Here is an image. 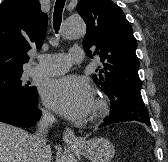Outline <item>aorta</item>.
<instances>
[{
    "label": "aorta",
    "instance_id": "obj_1",
    "mask_svg": "<svg viewBox=\"0 0 168 162\" xmlns=\"http://www.w3.org/2000/svg\"><path fill=\"white\" fill-rule=\"evenodd\" d=\"M86 31L85 24L80 18H68L63 23L62 37L65 39H76L84 36ZM64 162H77L72 154H68Z\"/></svg>",
    "mask_w": 168,
    "mask_h": 162
}]
</instances>
